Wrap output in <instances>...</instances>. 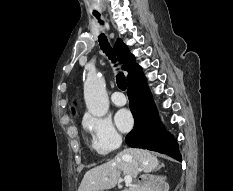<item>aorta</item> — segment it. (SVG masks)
<instances>
[{
    "mask_svg": "<svg viewBox=\"0 0 233 191\" xmlns=\"http://www.w3.org/2000/svg\"><path fill=\"white\" fill-rule=\"evenodd\" d=\"M84 99L88 111L96 116L103 117L109 110V101L105 81L98 75H90L84 83Z\"/></svg>",
    "mask_w": 233,
    "mask_h": 191,
    "instance_id": "obj_1",
    "label": "aorta"
}]
</instances>
